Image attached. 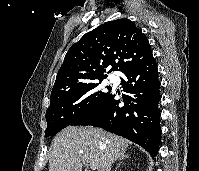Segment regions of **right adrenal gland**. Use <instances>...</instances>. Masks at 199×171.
<instances>
[{
  "label": "right adrenal gland",
  "instance_id": "obj_1",
  "mask_svg": "<svg viewBox=\"0 0 199 171\" xmlns=\"http://www.w3.org/2000/svg\"><path fill=\"white\" fill-rule=\"evenodd\" d=\"M128 157H129V156H128L127 154H125V152L121 154L120 158L118 159V160H119V163H118V165H117L115 171H117V169L119 168V166H120V164L122 163V161L125 160V159H127Z\"/></svg>",
  "mask_w": 199,
  "mask_h": 171
}]
</instances>
